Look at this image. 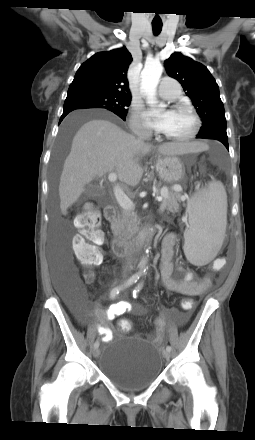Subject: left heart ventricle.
Masks as SVG:
<instances>
[{
  "label": "left heart ventricle",
  "mask_w": 255,
  "mask_h": 440,
  "mask_svg": "<svg viewBox=\"0 0 255 440\" xmlns=\"http://www.w3.org/2000/svg\"><path fill=\"white\" fill-rule=\"evenodd\" d=\"M194 122L189 113L184 110H174L169 128L164 132L172 137H183L193 128Z\"/></svg>",
  "instance_id": "obj_1"
}]
</instances>
